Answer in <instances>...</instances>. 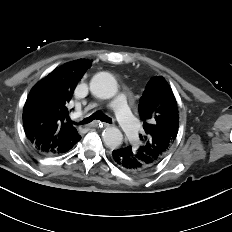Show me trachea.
Returning a JSON list of instances; mask_svg holds the SVG:
<instances>
[{
  "instance_id": "trachea-1",
  "label": "trachea",
  "mask_w": 232,
  "mask_h": 232,
  "mask_svg": "<svg viewBox=\"0 0 232 232\" xmlns=\"http://www.w3.org/2000/svg\"><path fill=\"white\" fill-rule=\"evenodd\" d=\"M93 120H100L102 122H106V123H112V119L110 117H108L107 115L102 114L101 112L97 111L95 113H93L91 116L83 119L80 123H78L79 125L81 124H87L92 122ZM74 124H77L76 122H73Z\"/></svg>"
}]
</instances>
